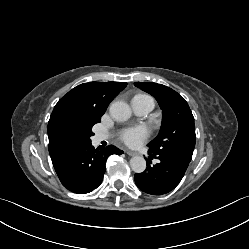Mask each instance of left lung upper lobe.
Listing matches in <instances>:
<instances>
[{
  "mask_svg": "<svg viewBox=\"0 0 249 249\" xmlns=\"http://www.w3.org/2000/svg\"><path fill=\"white\" fill-rule=\"evenodd\" d=\"M136 87L151 94L162 109L159 135L149 144V150L181 156L191 160L196 142L194 117L186 100L173 89L151 82H136Z\"/></svg>",
  "mask_w": 249,
  "mask_h": 249,
  "instance_id": "5c2ea615",
  "label": "left lung upper lobe"
}]
</instances>
